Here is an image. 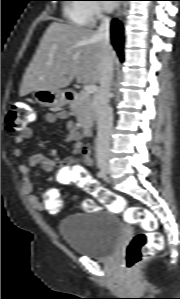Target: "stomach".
<instances>
[{
    "instance_id": "0dacf381",
    "label": "stomach",
    "mask_w": 180,
    "mask_h": 299,
    "mask_svg": "<svg viewBox=\"0 0 180 299\" xmlns=\"http://www.w3.org/2000/svg\"><path fill=\"white\" fill-rule=\"evenodd\" d=\"M37 103L47 107H63L68 103L66 92L63 90L39 89L33 92Z\"/></svg>"
}]
</instances>
